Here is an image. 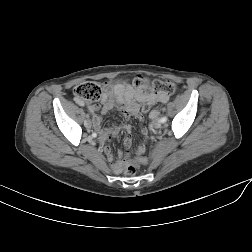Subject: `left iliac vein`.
<instances>
[{
    "label": "left iliac vein",
    "instance_id": "1",
    "mask_svg": "<svg viewBox=\"0 0 252 252\" xmlns=\"http://www.w3.org/2000/svg\"><path fill=\"white\" fill-rule=\"evenodd\" d=\"M152 125L154 128H160L161 122L159 120H153Z\"/></svg>",
    "mask_w": 252,
    "mask_h": 252
}]
</instances>
